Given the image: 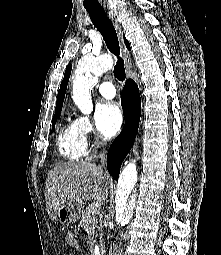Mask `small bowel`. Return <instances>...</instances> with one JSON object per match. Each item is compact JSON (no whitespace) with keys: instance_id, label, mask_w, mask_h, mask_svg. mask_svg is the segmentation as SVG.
<instances>
[{"instance_id":"1","label":"small bowel","mask_w":221,"mask_h":255,"mask_svg":"<svg viewBox=\"0 0 221 255\" xmlns=\"http://www.w3.org/2000/svg\"><path fill=\"white\" fill-rule=\"evenodd\" d=\"M66 242L67 244L74 248V249H78L79 248V241L76 237V235L72 232H69L67 235H66Z\"/></svg>"}]
</instances>
